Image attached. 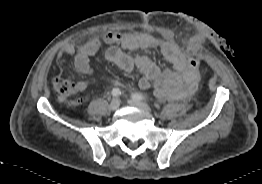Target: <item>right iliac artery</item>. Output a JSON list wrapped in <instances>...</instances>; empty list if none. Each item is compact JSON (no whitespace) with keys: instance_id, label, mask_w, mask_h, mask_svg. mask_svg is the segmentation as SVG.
<instances>
[{"instance_id":"82829eb1","label":"right iliac artery","mask_w":262,"mask_h":184,"mask_svg":"<svg viewBox=\"0 0 262 184\" xmlns=\"http://www.w3.org/2000/svg\"><path fill=\"white\" fill-rule=\"evenodd\" d=\"M112 95H113L114 97H119V96L121 95L120 89H119V88H113V90H112Z\"/></svg>"}]
</instances>
